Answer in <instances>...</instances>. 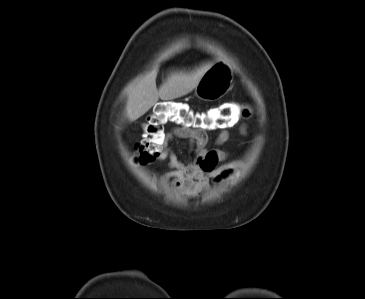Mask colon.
<instances>
[{"instance_id":"1","label":"colon","mask_w":365,"mask_h":299,"mask_svg":"<svg viewBox=\"0 0 365 299\" xmlns=\"http://www.w3.org/2000/svg\"><path fill=\"white\" fill-rule=\"evenodd\" d=\"M235 116L231 105L200 112L182 102H158L143 125L144 139L137 145L136 160L140 164H148L158 158L165 143L167 124L185 128L216 130L229 127ZM237 116L240 117L241 114Z\"/></svg>"}]
</instances>
